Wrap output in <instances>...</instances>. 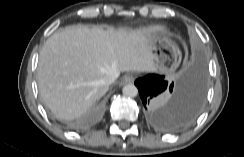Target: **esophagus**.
<instances>
[{"instance_id":"esophagus-1","label":"esophagus","mask_w":244,"mask_h":157,"mask_svg":"<svg viewBox=\"0 0 244 157\" xmlns=\"http://www.w3.org/2000/svg\"><path fill=\"white\" fill-rule=\"evenodd\" d=\"M135 80V77L133 75H127L124 76L120 82V86L126 85V84H131Z\"/></svg>"}]
</instances>
